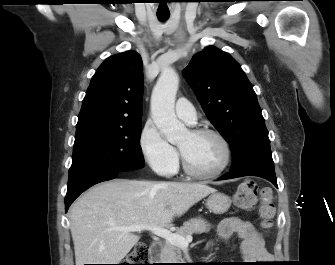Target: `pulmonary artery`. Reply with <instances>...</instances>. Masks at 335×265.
Wrapping results in <instances>:
<instances>
[{"label": "pulmonary artery", "mask_w": 335, "mask_h": 265, "mask_svg": "<svg viewBox=\"0 0 335 265\" xmlns=\"http://www.w3.org/2000/svg\"><path fill=\"white\" fill-rule=\"evenodd\" d=\"M176 115L189 124L196 121V111L193 105L185 98H179L175 105Z\"/></svg>", "instance_id": "e3ab8cb5"}]
</instances>
